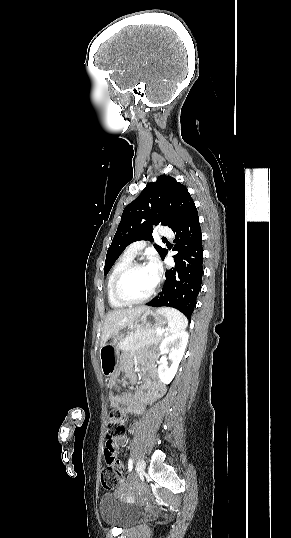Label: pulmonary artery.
<instances>
[{
  "mask_svg": "<svg viewBox=\"0 0 291 538\" xmlns=\"http://www.w3.org/2000/svg\"><path fill=\"white\" fill-rule=\"evenodd\" d=\"M159 234L163 238H171L173 236V232L168 228H162ZM145 246L146 242L144 241L134 242L127 247L125 253H127L131 257H136L139 253L142 252Z\"/></svg>",
  "mask_w": 291,
  "mask_h": 538,
  "instance_id": "obj_1",
  "label": "pulmonary artery"
}]
</instances>
